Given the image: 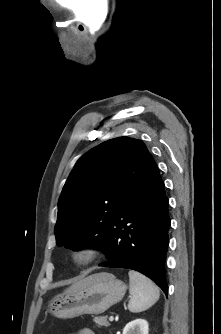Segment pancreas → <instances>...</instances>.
Instances as JSON below:
<instances>
[{"instance_id":"cf45deb5","label":"pancreas","mask_w":221,"mask_h":334,"mask_svg":"<svg viewBox=\"0 0 221 334\" xmlns=\"http://www.w3.org/2000/svg\"><path fill=\"white\" fill-rule=\"evenodd\" d=\"M93 321L96 323V325L98 327H108L110 326V323L107 321V317L106 316H99V317H94Z\"/></svg>"}]
</instances>
